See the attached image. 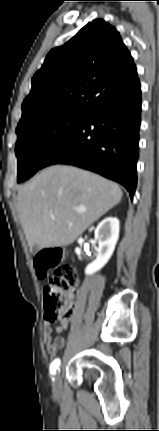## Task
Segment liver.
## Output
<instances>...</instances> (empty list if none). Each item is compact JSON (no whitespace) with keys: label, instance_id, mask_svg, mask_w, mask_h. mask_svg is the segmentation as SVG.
<instances>
[{"label":"liver","instance_id":"liver-1","mask_svg":"<svg viewBox=\"0 0 159 431\" xmlns=\"http://www.w3.org/2000/svg\"><path fill=\"white\" fill-rule=\"evenodd\" d=\"M121 198L122 190L112 181L76 167L54 165L19 190L18 212L29 246L54 248L72 244ZM79 208L87 211L78 213Z\"/></svg>","mask_w":159,"mask_h":431}]
</instances>
